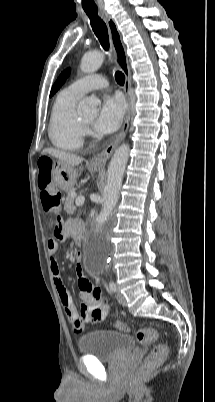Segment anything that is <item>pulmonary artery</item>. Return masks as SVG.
I'll list each match as a JSON object with an SVG mask.
<instances>
[{"label":"pulmonary artery","instance_id":"obj_1","mask_svg":"<svg viewBox=\"0 0 215 402\" xmlns=\"http://www.w3.org/2000/svg\"><path fill=\"white\" fill-rule=\"evenodd\" d=\"M107 85L108 82L104 76L100 74H90L81 77L80 79L70 84L68 89L82 96L91 90L104 88Z\"/></svg>","mask_w":215,"mask_h":402}]
</instances>
